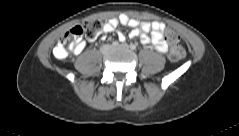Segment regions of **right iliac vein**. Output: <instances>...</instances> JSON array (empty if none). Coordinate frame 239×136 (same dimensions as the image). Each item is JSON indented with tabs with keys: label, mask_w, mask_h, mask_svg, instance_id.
I'll list each match as a JSON object with an SVG mask.
<instances>
[{
	"label": "right iliac vein",
	"mask_w": 239,
	"mask_h": 136,
	"mask_svg": "<svg viewBox=\"0 0 239 136\" xmlns=\"http://www.w3.org/2000/svg\"><path fill=\"white\" fill-rule=\"evenodd\" d=\"M110 48H111V46H109V45H103V46L100 48V52L104 54V53H106Z\"/></svg>",
	"instance_id": "right-iliac-vein-1"
}]
</instances>
